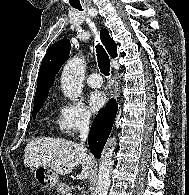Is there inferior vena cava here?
Returning a JSON list of instances; mask_svg holds the SVG:
<instances>
[{"instance_id":"602c4592","label":"inferior vena cava","mask_w":189,"mask_h":195,"mask_svg":"<svg viewBox=\"0 0 189 195\" xmlns=\"http://www.w3.org/2000/svg\"><path fill=\"white\" fill-rule=\"evenodd\" d=\"M89 124L90 121H89V117L87 116H83L78 123L79 130H80L81 144H83V142H85L88 137Z\"/></svg>"}]
</instances>
